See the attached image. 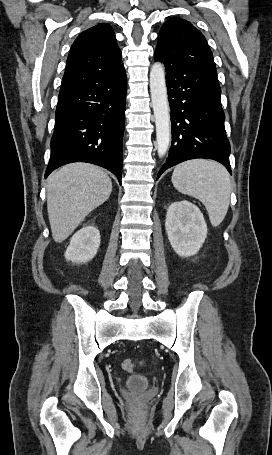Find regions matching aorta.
I'll list each match as a JSON object with an SVG mask.
<instances>
[{
  "mask_svg": "<svg viewBox=\"0 0 272 455\" xmlns=\"http://www.w3.org/2000/svg\"><path fill=\"white\" fill-rule=\"evenodd\" d=\"M150 93L155 117L157 151L161 158L166 154L170 144L171 124L165 70L160 62L154 63L150 70Z\"/></svg>",
  "mask_w": 272,
  "mask_h": 455,
  "instance_id": "aorta-1",
  "label": "aorta"
}]
</instances>
